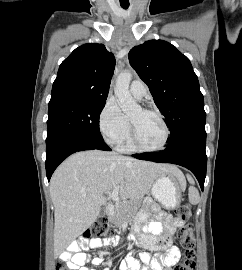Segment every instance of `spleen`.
Wrapping results in <instances>:
<instances>
[{
    "label": "spleen",
    "instance_id": "3e777b00",
    "mask_svg": "<svg viewBox=\"0 0 242 270\" xmlns=\"http://www.w3.org/2000/svg\"><path fill=\"white\" fill-rule=\"evenodd\" d=\"M188 196H189V202L191 204L195 205V204L199 203L200 196H199L198 190L195 187H193V186L189 187Z\"/></svg>",
    "mask_w": 242,
    "mask_h": 270
}]
</instances>
